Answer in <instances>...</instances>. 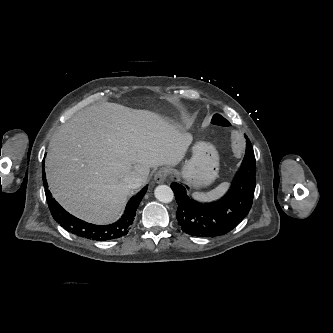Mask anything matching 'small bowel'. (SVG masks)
<instances>
[{"label": "small bowel", "instance_id": "small-bowel-1", "mask_svg": "<svg viewBox=\"0 0 333 333\" xmlns=\"http://www.w3.org/2000/svg\"><path fill=\"white\" fill-rule=\"evenodd\" d=\"M231 139H232L231 143H232V146H233V148H232L233 149L232 150L233 154L237 155V156L238 155L241 156L243 154L242 149H243V145H244L241 135L237 134V133L233 134Z\"/></svg>", "mask_w": 333, "mask_h": 333}]
</instances>
